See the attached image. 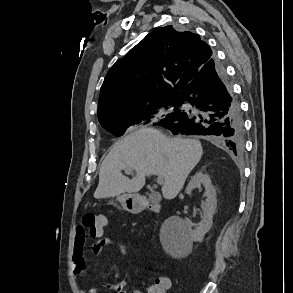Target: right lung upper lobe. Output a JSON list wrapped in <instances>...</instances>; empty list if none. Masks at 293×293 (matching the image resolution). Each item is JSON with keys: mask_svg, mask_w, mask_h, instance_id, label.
I'll list each match as a JSON object with an SVG mask.
<instances>
[{"mask_svg": "<svg viewBox=\"0 0 293 293\" xmlns=\"http://www.w3.org/2000/svg\"><path fill=\"white\" fill-rule=\"evenodd\" d=\"M214 54L198 34L156 28L117 61L100 89L98 119L178 97Z\"/></svg>", "mask_w": 293, "mask_h": 293, "instance_id": "cb5924a9", "label": "right lung upper lobe"}]
</instances>
